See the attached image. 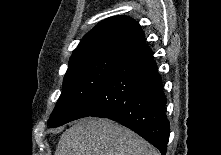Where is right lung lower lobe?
I'll list each match as a JSON object with an SVG mask.
<instances>
[{
  "mask_svg": "<svg viewBox=\"0 0 221 155\" xmlns=\"http://www.w3.org/2000/svg\"><path fill=\"white\" fill-rule=\"evenodd\" d=\"M166 97L151 49L143 42L114 66L81 118H109L166 155L170 126Z\"/></svg>",
  "mask_w": 221,
  "mask_h": 155,
  "instance_id": "obj_1",
  "label": "right lung lower lobe"
}]
</instances>
